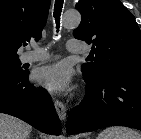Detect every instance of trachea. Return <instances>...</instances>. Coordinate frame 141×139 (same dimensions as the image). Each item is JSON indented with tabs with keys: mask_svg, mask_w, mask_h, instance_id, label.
<instances>
[{
	"mask_svg": "<svg viewBox=\"0 0 141 139\" xmlns=\"http://www.w3.org/2000/svg\"><path fill=\"white\" fill-rule=\"evenodd\" d=\"M63 2H64V0H55L54 18L56 21L57 32L59 31L60 16H61V11H62V7H63Z\"/></svg>",
	"mask_w": 141,
	"mask_h": 139,
	"instance_id": "trachea-1",
	"label": "trachea"
}]
</instances>
